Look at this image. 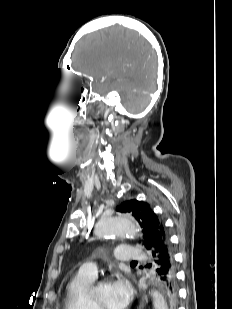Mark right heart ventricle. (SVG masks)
Returning <instances> with one entry per match:
<instances>
[{
	"instance_id": "1",
	"label": "right heart ventricle",
	"mask_w": 232,
	"mask_h": 309,
	"mask_svg": "<svg viewBox=\"0 0 232 309\" xmlns=\"http://www.w3.org/2000/svg\"><path fill=\"white\" fill-rule=\"evenodd\" d=\"M93 281V277L78 272L66 287L65 309H94L90 291Z\"/></svg>"
}]
</instances>
